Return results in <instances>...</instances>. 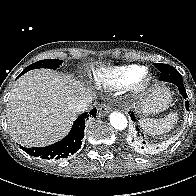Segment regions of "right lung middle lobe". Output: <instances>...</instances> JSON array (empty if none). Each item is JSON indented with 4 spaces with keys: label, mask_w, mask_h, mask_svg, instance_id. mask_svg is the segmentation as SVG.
<instances>
[{
    "label": "right lung middle lobe",
    "mask_w": 196,
    "mask_h": 196,
    "mask_svg": "<svg viewBox=\"0 0 196 196\" xmlns=\"http://www.w3.org/2000/svg\"><path fill=\"white\" fill-rule=\"evenodd\" d=\"M62 64V60H56V59H47V60H41L37 61L28 67H26L22 73H26L32 69H37V68H49V69H56Z\"/></svg>",
    "instance_id": "right-lung-middle-lobe-1"
}]
</instances>
